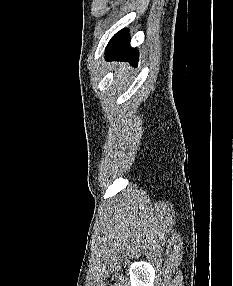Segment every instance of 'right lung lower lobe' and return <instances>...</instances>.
Here are the masks:
<instances>
[{
    "mask_svg": "<svg viewBox=\"0 0 233 286\" xmlns=\"http://www.w3.org/2000/svg\"><path fill=\"white\" fill-rule=\"evenodd\" d=\"M137 48L130 47V37L128 31L123 29L116 33L109 41L105 58L108 60H126L133 66L138 62Z\"/></svg>",
    "mask_w": 233,
    "mask_h": 286,
    "instance_id": "98d812e1",
    "label": "right lung lower lobe"
}]
</instances>
